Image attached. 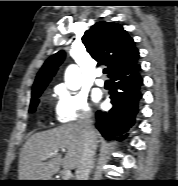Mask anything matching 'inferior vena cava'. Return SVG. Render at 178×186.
<instances>
[{"instance_id": "1", "label": "inferior vena cava", "mask_w": 178, "mask_h": 186, "mask_svg": "<svg viewBox=\"0 0 178 186\" xmlns=\"http://www.w3.org/2000/svg\"><path fill=\"white\" fill-rule=\"evenodd\" d=\"M80 122L84 136V149L76 169L75 177L76 180H88L94 164L97 143L93 128L92 114H86Z\"/></svg>"}]
</instances>
